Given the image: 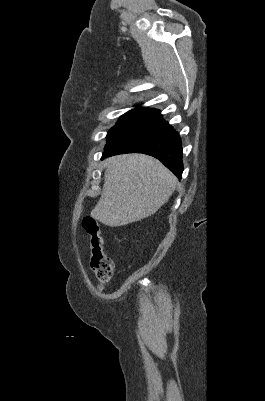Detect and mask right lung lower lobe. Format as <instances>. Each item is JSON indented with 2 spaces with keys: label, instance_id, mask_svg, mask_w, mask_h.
<instances>
[{
  "label": "right lung lower lobe",
  "instance_id": "1",
  "mask_svg": "<svg viewBox=\"0 0 265 401\" xmlns=\"http://www.w3.org/2000/svg\"><path fill=\"white\" fill-rule=\"evenodd\" d=\"M143 153L159 159L179 179L182 177V143L179 133L160 112L107 142L103 156Z\"/></svg>",
  "mask_w": 265,
  "mask_h": 401
}]
</instances>
